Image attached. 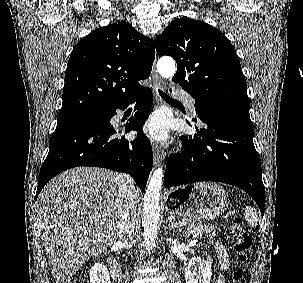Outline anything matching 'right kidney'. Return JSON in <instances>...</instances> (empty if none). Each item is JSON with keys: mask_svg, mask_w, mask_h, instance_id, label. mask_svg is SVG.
Here are the masks:
<instances>
[{"mask_svg": "<svg viewBox=\"0 0 303 283\" xmlns=\"http://www.w3.org/2000/svg\"><path fill=\"white\" fill-rule=\"evenodd\" d=\"M90 283H111L107 268L102 263H95L89 272Z\"/></svg>", "mask_w": 303, "mask_h": 283, "instance_id": "1", "label": "right kidney"}]
</instances>
